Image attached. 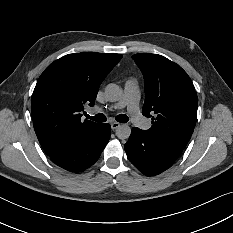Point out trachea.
Segmentation results:
<instances>
[{
  "label": "trachea",
  "instance_id": "1",
  "mask_svg": "<svg viewBox=\"0 0 233 233\" xmlns=\"http://www.w3.org/2000/svg\"><path fill=\"white\" fill-rule=\"evenodd\" d=\"M85 115L88 119L94 120L96 122H105L107 120V117L102 113H98L95 116H90L88 114ZM115 119L121 123H126L128 121V117L125 114H119L115 117Z\"/></svg>",
  "mask_w": 233,
  "mask_h": 233
}]
</instances>
